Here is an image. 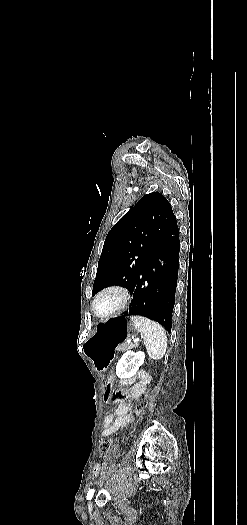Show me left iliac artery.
I'll use <instances>...</instances> for the list:
<instances>
[{"mask_svg":"<svg viewBox=\"0 0 247 525\" xmlns=\"http://www.w3.org/2000/svg\"><path fill=\"white\" fill-rule=\"evenodd\" d=\"M94 489H90L87 493V500H90L93 497Z\"/></svg>","mask_w":247,"mask_h":525,"instance_id":"obj_1","label":"left iliac artery"}]
</instances>
